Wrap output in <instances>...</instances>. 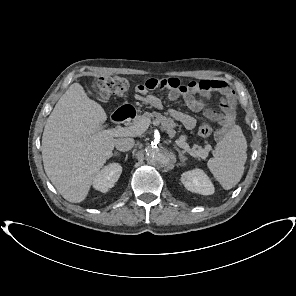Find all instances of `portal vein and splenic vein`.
Listing matches in <instances>:
<instances>
[{"instance_id": "portal-vein-and-splenic-vein-1", "label": "portal vein and splenic vein", "mask_w": 296, "mask_h": 296, "mask_svg": "<svg viewBox=\"0 0 296 296\" xmlns=\"http://www.w3.org/2000/svg\"><path fill=\"white\" fill-rule=\"evenodd\" d=\"M150 125L149 120H142L138 124L130 127H117L110 128L107 130L100 131L99 134L103 136H113V137H123V136H139L147 130ZM175 143L185 151H187L191 156H200L199 151H193L190 146L185 142L183 138L177 139ZM209 147H207L208 149Z\"/></svg>"}]
</instances>
